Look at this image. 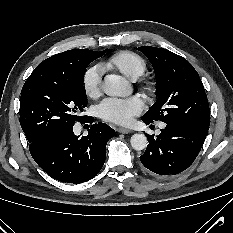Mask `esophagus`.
<instances>
[{
	"label": "esophagus",
	"instance_id": "obj_1",
	"mask_svg": "<svg viewBox=\"0 0 233 233\" xmlns=\"http://www.w3.org/2000/svg\"><path fill=\"white\" fill-rule=\"evenodd\" d=\"M118 132L119 133H122V134H128V133H130L131 132V130L130 129H127V128H119L118 129Z\"/></svg>",
	"mask_w": 233,
	"mask_h": 233
}]
</instances>
